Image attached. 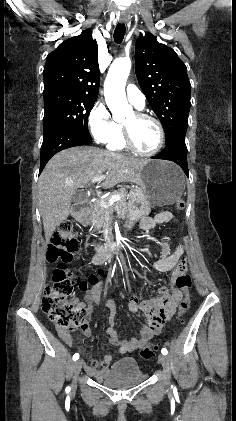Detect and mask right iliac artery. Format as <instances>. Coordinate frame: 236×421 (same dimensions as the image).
<instances>
[{"label":"right iliac artery","instance_id":"1","mask_svg":"<svg viewBox=\"0 0 236 421\" xmlns=\"http://www.w3.org/2000/svg\"><path fill=\"white\" fill-rule=\"evenodd\" d=\"M78 358H79V354H78V353H75V354L73 355V360H74V361H76V360H78ZM66 389L68 390V389H69V387H67Z\"/></svg>","mask_w":236,"mask_h":421}]
</instances>
